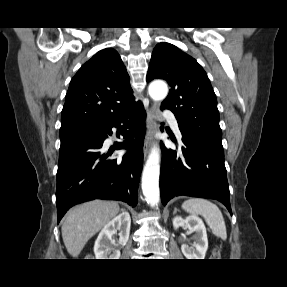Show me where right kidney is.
<instances>
[{"label":"right kidney","mask_w":287,"mask_h":287,"mask_svg":"<svg viewBox=\"0 0 287 287\" xmlns=\"http://www.w3.org/2000/svg\"><path fill=\"white\" fill-rule=\"evenodd\" d=\"M130 225L131 218L128 212H122L108 222L95 241L94 253L96 259H119L120 251L111 250L110 247L112 237L119 230V243L126 244L129 239Z\"/></svg>","instance_id":"obj_1"}]
</instances>
